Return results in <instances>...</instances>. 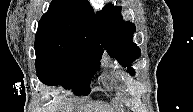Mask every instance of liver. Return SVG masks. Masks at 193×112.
Returning a JSON list of instances; mask_svg holds the SVG:
<instances>
[{
    "label": "liver",
    "instance_id": "liver-1",
    "mask_svg": "<svg viewBox=\"0 0 193 112\" xmlns=\"http://www.w3.org/2000/svg\"><path fill=\"white\" fill-rule=\"evenodd\" d=\"M91 110V111H88ZM84 112H109L108 106L103 104H97L91 109H84Z\"/></svg>",
    "mask_w": 193,
    "mask_h": 112
}]
</instances>
